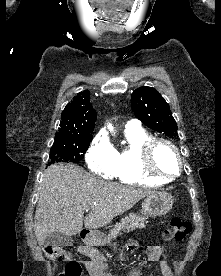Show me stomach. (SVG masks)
<instances>
[{
	"label": "stomach",
	"instance_id": "0dacf381",
	"mask_svg": "<svg viewBox=\"0 0 221 276\" xmlns=\"http://www.w3.org/2000/svg\"><path fill=\"white\" fill-rule=\"evenodd\" d=\"M173 197L166 192H153L146 196L142 203V213L147 217H157L167 214L173 205ZM90 245H103L106 243L102 233L95 232L87 238Z\"/></svg>",
	"mask_w": 221,
	"mask_h": 276
}]
</instances>
